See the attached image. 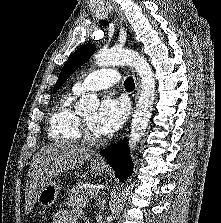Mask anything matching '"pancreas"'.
I'll use <instances>...</instances> for the list:
<instances>
[{
    "label": "pancreas",
    "mask_w": 221,
    "mask_h": 223,
    "mask_svg": "<svg viewBox=\"0 0 221 223\" xmlns=\"http://www.w3.org/2000/svg\"><path fill=\"white\" fill-rule=\"evenodd\" d=\"M82 183H78L69 193V196L67 198V202L65 205L67 207H72V208H80V207H85L88 205L89 198L88 194L89 191H92L93 189L90 188H80Z\"/></svg>",
    "instance_id": "pancreas-1"
}]
</instances>
